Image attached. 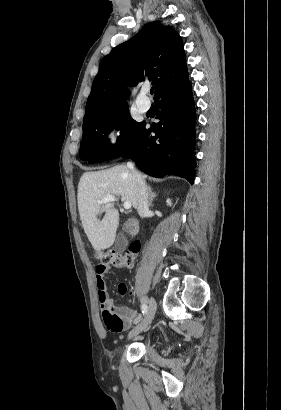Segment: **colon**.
I'll return each instance as SVG.
<instances>
[{"mask_svg": "<svg viewBox=\"0 0 281 410\" xmlns=\"http://www.w3.org/2000/svg\"><path fill=\"white\" fill-rule=\"evenodd\" d=\"M140 243L135 242L131 245L130 250L127 254L122 255L111 250H99L96 253L97 258H99L104 264L112 265L114 267H132L135 263L136 257L140 251ZM103 319L106 327L115 331L122 327L123 321L116 314L109 311L103 312Z\"/></svg>", "mask_w": 281, "mask_h": 410, "instance_id": "1", "label": "colon"}]
</instances>
